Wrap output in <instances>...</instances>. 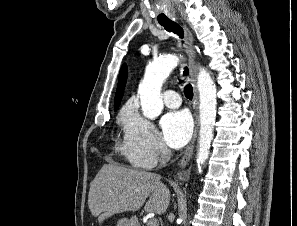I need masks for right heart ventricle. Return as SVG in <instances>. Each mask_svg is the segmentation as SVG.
Wrapping results in <instances>:
<instances>
[{"instance_id":"1","label":"right heart ventricle","mask_w":297,"mask_h":226,"mask_svg":"<svg viewBox=\"0 0 297 226\" xmlns=\"http://www.w3.org/2000/svg\"><path fill=\"white\" fill-rule=\"evenodd\" d=\"M124 116H125V113H124V114L122 115V117H121V118H122V121H123V119H124Z\"/></svg>"}]
</instances>
